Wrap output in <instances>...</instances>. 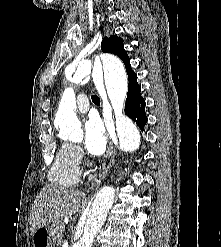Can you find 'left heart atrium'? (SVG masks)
Here are the masks:
<instances>
[{
  "label": "left heart atrium",
  "instance_id": "1",
  "mask_svg": "<svg viewBox=\"0 0 221 247\" xmlns=\"http://www.w3.org/2000/svg\"><path fill=\"white\" fill-rule=\"evenodd\" d=\"M107 136L100 122L90 118L84 126V145L92 155H101L107 147Z\"/></svg>",
  "mask_w": 221,
  "mask_h": 247
}]
</instances>
